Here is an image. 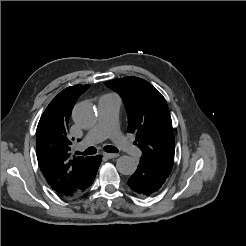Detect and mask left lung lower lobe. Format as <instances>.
<instances>
[{"instance_id": "0a47b994", "label": "left lung lower lobe", "mask_w": 246, "mask_h": 246, "mask_svg": "<svg viewBox=\"0 0 246 246\" xmlns=\"http://www.w3.org/2000/svg\"><path fill=\"white\" fill-rule=\"evenodd\" d=\"M169 174L153 163L141 159L127 183L138 195L149 196L162 187Z\"/></svg>"}]
</instances>
